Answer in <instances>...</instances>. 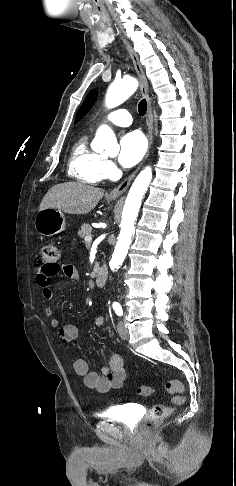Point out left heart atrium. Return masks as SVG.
Segmentation results:
<instances>
[{"instance_id":"39dd6f15","label":"left heart atrium","mask_w":236,"mask_h":486,"mask_svg":"<svg viewBox=\"0 0 236 486\" xmlns=\"http://www.w3.org/2000/svg\"><path fill=\"white\" fill-rule=\"evenodd\" d=\"M146 140L138 131L125 134L119 142V163L129 168L138 163L145 154Z\"/></svg>"}]
</instances>
